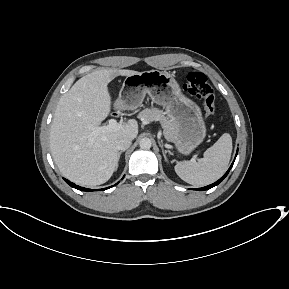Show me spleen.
I'll use <instances>...</instances> for the list:
<instances>
[{
  "label": "spleen",
  "mask_w": 289,
  "mask_h": 289,
  "mask_svg": "<svg viewBox=\"0 0 289 289\" xmlns=\"http://www.w3.org/2000/svg\"><path fill=\"white\" fill-rule=\"evenodd\" d=\"M232 153V138L224 133L218 141L204 152V157L195 161L178 162L174 169L185 182L204 186L215 182L227 169Z\"/></svg>",
  "instance_id": "1"
}]
</instances>
